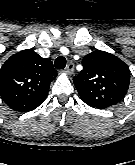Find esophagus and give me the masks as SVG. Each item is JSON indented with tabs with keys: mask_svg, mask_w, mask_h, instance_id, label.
<instances>
[{
	"mask_svg": "<svg viewBox=\"0 0 135 165\" xmlns=\"http://www.w3.org/2000/svg\"><path fill=\"white\" fill-rule=\"evenodd\" d=\"M64 72H65L66 74H69V75L73 74V72H74V63L70 62V63L65 67Z\"/></svg>",
	"mask_w": 135,
	"mask_h": 165,
	"instance_id": "34e87169",
	"label": "esophagus"
}]
</instances>
